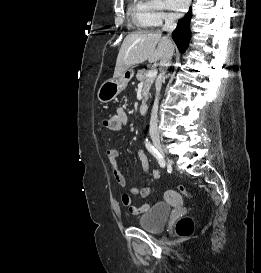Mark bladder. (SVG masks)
<instances>
[{
  "instance_id": "bladder-1",
  "label": "bladder",
  "mask_w": 261,
  "mask_h": 273,
  "mask_svg": "<svg viewBox=\"0 0 261 273\" xmlns=\"http://www.w3.org/2000/svg\"><path fill=\"white\" fill-rule=\"evenodd\" d=\"M171 209L172 206L167 202H156L138 218L137 223L147 231L159 232L164 229Z\"/></svg>"
}]
</instances>
